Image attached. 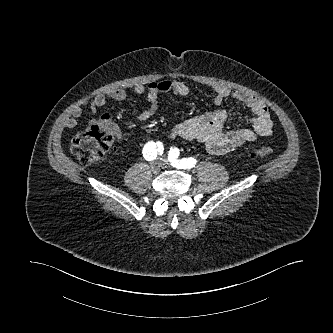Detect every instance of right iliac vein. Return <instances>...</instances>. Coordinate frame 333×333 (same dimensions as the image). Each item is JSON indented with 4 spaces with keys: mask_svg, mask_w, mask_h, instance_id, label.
Listing matches in <instances>:
<instances>
[{
    "mask_svg": "<svg viewBox=\"0 0 333 333\" xmlns=\"http://www.w3.org/2000/svg\"><path fill=\"white\" fill-rule=\"evenodd\" d=\"M162 164L160 161H155L151 164L152 171L158 173L161 170Z\"/></svg>",
    "mask_w": 333,
    "mask_h": 333,
    "instance_id": "obj_1",
    "label": "right iliac vein"
}]
</instances>
